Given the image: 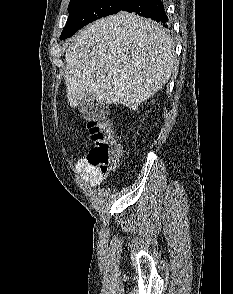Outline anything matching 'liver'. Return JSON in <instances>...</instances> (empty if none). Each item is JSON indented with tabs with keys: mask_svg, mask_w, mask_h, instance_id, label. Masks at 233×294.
Masks as SVG:
<instances>
[{
	"mask_svg": "<svg viewBox=\"0 0 233 294\" xmlns=\"http://www.w3.org/2000/svg\"><path fill=\"white\" fill-rule=\"evenodd\" d=\"M65 63L72 108L92 94L98 103L138 112L168 82L177 61L172 39L160 24L121 11L72 37Z\"/></svg>",
	"mask_w": 233,
	"mask_h": 294,
	"instance_id": "obj_1",
	"label": "liver"
}]
</instances>
